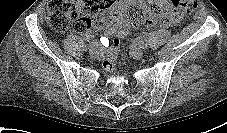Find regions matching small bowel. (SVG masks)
<instances>
[{"label": "small bowel", "mask_w": 227, "mask_h": 133, "mask_svg": "<svg viewBox=\"0 0 227 133\" xmlns=\"http://www.w3.org/2000/svg\"><path fill=\"white\" fill-rule=\"evenodd\" d=\"M118 2L119 7L114 11V13L97 21L94 24L93 29H103L107 35L117 37H124L129 33L132 24V20L128 13L130 5L138 4L145 8V2L144 0H119ZM149 2L151 5H158L167 10L166 18L159 21L162 26L170 27L180 22V18L170 11L171 5L169 0H150ZM154 23L155 22L148 25ZM83 36L86 40H91L93 38V31L90 29L86 30ZM101 58H104L103 54L101 55Z\"/></svg>", "instance_id": "small-bowel-1"}]
</instances>
